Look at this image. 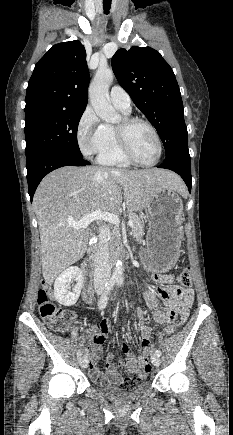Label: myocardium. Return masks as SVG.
I'll return each instance as SVG.
<instances>
[{
  "label": "myocardium",
  "mask_w": 233,
  "mask_h": 435,
  "mask_svg": "<svg viewBox=\"0 0 233 435\" xmlns=\"http://www.w3.org/2000/svg\"><path fill=\"white\" fill-rule=\"evenodd\" d=\"M135 123H141V124H144L145 126H147L154 136V139H155V142L157 145V157L151 163H143V162L139 161L135 157L134 153L132 152V150L129 146L128 139H127V131ZM114 130H115V135H116L120 150H121L123 156L131 164H134V165L140 166V167H146V168L153 167L156 164H158V162L160 161L161 156H162V142H161L160 136L158 134V131L156 130V128L154 127V125L151 122H149L146 119L136 117V116H125L121 120V123L114 127Z\"/></svg>",
  "instance_id": "obj_1"
}]
</instances>
